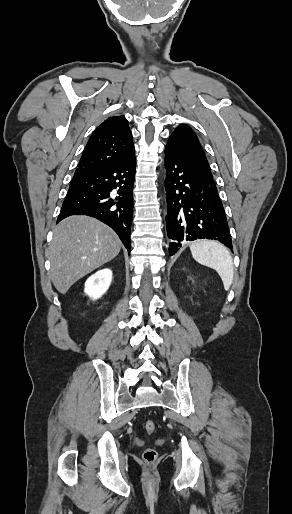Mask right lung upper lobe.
Instances as JSON below:
<instances>
[{"instance_id":"obj_1","label":"right lung upper lobe","mask_w":292,"mask_h":514,"mask_svg":"<svg viewBox=\"0 0 292 514\" xmlns=\"http://www.w3.org/2000/svg\"><path fill=\"white\" fill-rule=\"evenodd\" d=\"M134 155L132 133L123 115L113 116L92 133L78 164V169L110 166Z\"/></svg>"}]
</instances>
